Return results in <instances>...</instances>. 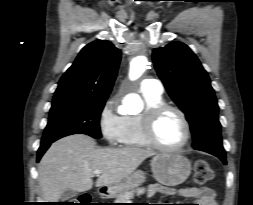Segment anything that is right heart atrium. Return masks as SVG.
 <instances>
[{
    "mask_svg": "<svg viewBox=\"0 0 253 205\" xmlns=\"http://www.w3.org/2000/svg\"><path fill=\"white\" fill-rule=\"evenodd\" d=\"M99 130L110 145L120 143L123 132V116L118 113L116 100L108 99L102 106L98 117Z\"/></svg>",
    "mask_w": 253,
    "mask_h": 205,
    "instance_id": "obj_1",
    "label": "right heart atrium"
}]
</instances>
